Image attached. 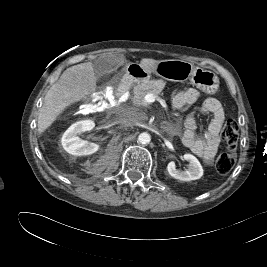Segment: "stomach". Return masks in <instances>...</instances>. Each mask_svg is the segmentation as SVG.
<instances>
[{
  "instance_id": "stomach-1",
  "label": "stomach",
  "mask_w": 267,
  "mask_h": 267,
  "mask_svg": "<svg viewBox=\"0 0 267 267\" xmlns=\"http://www.w3.org/2000/svg\"><path fill=\"white\" fill-rule=\"evenodd\" d=\"M140 70L137 74L129 76L135 81H147L151 73L171 81H186L208 94H215L219 88V78L209 70L195 67L184 60H162L158 61L153 71L146 70L139 64ZM131 71V68H130Z\"/></svg>"
}]
</instances>
